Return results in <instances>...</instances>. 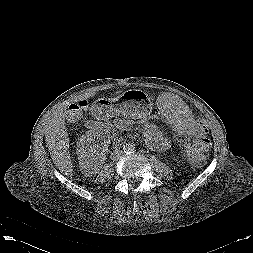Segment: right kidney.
<instances>
[{
  "label": "right kidney",
  "mask_w": 253,
  "mask_h": 253,
  "mask_svg": "<svg viewBox=\"0 0 253 253\" xmlns=\"http://www.w3.org/2000/svg\"><path fill=\"white\" fill-rule=\"evenodd\" d=\"M108 139L99 128L88 130L77 143L79 168L87 176L97 173L106 159Z\"/></svg>",
  "instance_id": "ca27d5eb"
}]
</instances>
